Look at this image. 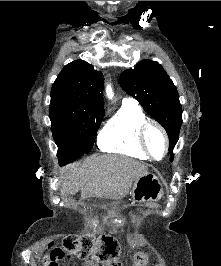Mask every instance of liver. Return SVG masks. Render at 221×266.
I'll list each match as a JSON object with an SVG mask.
<instances>
[{"mask_svg": "<svg viewBox=\"0 0 221 266\" xmlns=\"http://www.w3.org/2000/svg\"><path fill=\"white\" fill-rule=\"evenodd\" d=\"M146 173L145 165L126 156H93L83 164L76 162L63 168L61 195L81 190L84 197L120 200Z\"/></svg>", "mask_w": 221, "mask_h": 266, "instance_id": "liver-1", "label": "liver"}]
</instances>
